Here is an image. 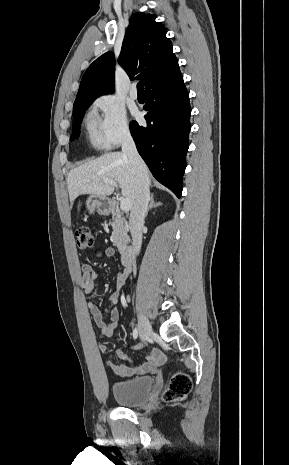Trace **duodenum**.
I'll return each mask as SVG.
<instances>
[{"label": "duodenum", "mask_w": 289, "mask_h": 465, "mask_svg": "<svg viewBox=\"0 0 289 465\" xmlns=\"http://www.w3.org/2000/svg\"><path fill=\"white\" fill-rule=\"evenodd\" d=\"M123 264L125 266H131L136 260V249L134 246H128L123 250L122 253Z\"/></svg>", "instance_id": "obj_1"}]
</instances>
